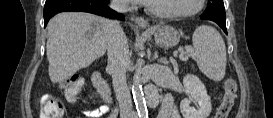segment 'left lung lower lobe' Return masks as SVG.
Masks as SVG:
<instances>
[{
  "label": "left lung lower lobe",
  "instance_id": "0a47b994",
  "mask_svg": "<svg viewBox=\"0 0 273 118\" xmlns=\"http://www.w3.org/2000/svg\"><path fill=\"white\" fill-rule=\"evenodd\" d=\"M201 19H203V18H201ZM212 21H214V20H212ZM214 22H216L223 29V31L227 34L225 22H221V21H214Z\"/></svg>",
  "mask_w": 273,
  "mask_h": 118
}]
</instances>
